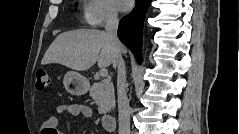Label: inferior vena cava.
I'll return each instance as SVG.
<instances>
[{"label": "inferior vena cava", "mask_w": 239, "mask_h": 134, "mask_svg": "<svg viewBox=\"0 0 239 134\" xmlns=\"http://www.w3.org/2000/svg\"><path fill=\"white\" fill-rule=\"evenodd\" d=\"M118 29V14L117 11L111 9L107 15L106 21V34L109 36L116 49V61L114 62V68L117 67V96H118V123L119 134H130V107L129 101L126 95V71L125 64L119 53L120 41L117 37Z\"/></svg>", "instance_id": "602c4592"}]
</instances>
